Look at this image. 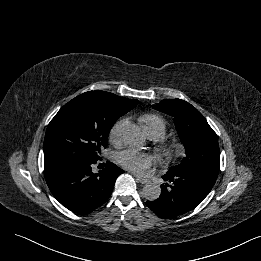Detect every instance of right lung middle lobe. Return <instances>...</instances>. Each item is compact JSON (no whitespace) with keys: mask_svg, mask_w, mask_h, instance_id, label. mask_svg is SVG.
<instances>
[{"mask_svg":"<svg viewBox=\"0 0 261 261\" xmlns=\"http://www.w3.org/2000/svg\"><path fill=\"white\" fill-rule=\"evenodd\" d=\"M106 110L90 97L77 96L64 105L48 125L44 163L67 159H97L107 147L108 134L117 119L133 109Z\"/></svg>","mask_w":261,"mask_h":261,"instance_id":"right-lung-middle-lobe-1","label":"right lung middle lobe"}]
</instances>
